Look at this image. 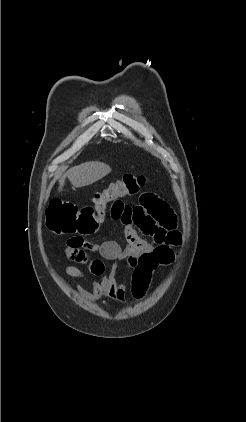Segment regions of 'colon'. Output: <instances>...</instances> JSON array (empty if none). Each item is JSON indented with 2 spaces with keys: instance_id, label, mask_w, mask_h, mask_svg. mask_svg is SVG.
I'll return each mask as SVG.
<instances>
[{
  "instance_id": "5ec220e1",
  "label": "colon",
  "mask_w": 246,
  "mask_h": 422,
  "mask_svg": "<svg viewBox=\"0 0 246 422\" xmlns=\"http://www.w3.org/2000/svg\"><path fill=\"white\" fill-rule=\"evenodd\" d=\"M148 183L142 174H125L120 180L110 183L95 194L92 203L79 206L76 203L56 199L46 210V226L55 233H94L113 207H120L122 199L135 195ZM175 253L167 248H157L139 255L134 261L131 277V292L136 299L147 293L151 275L159 266L174 262Z\"/></svg>"
}]
</instances>
